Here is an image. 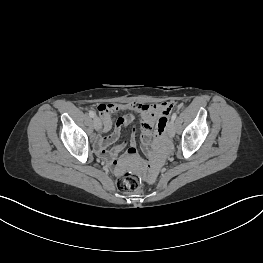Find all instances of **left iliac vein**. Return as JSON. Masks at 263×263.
<instances>
[{"instance_id":"left-iliac-vein-1","label":"left iliac vein","mask_w":263,"mask_h":263,"mask_svg":"<svg viewBox=\"0 0 263 263\" xmlns=\"http://www.w3.org/2000/svg\"><path fill=\"white\" fill-rule=\"evenodd\" d=\"M167 132L169 137L173 138L175 136V124L172 120L168 124Z\"/></svg>"}]
</instances>
